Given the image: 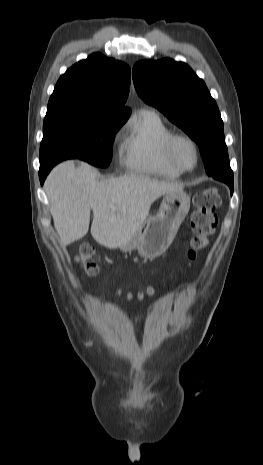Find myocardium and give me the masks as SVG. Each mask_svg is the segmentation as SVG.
I'll return each mask as SVG.
<instances>
[{"instance_id": "obj_1", "label": "myocardium", "mask_w": 263, "mask_h": 465, "mask_svg": "<svg viewBox=\"0 0 263 465\" xmlns=\"http://www.w3.org/2000/svg\"><path fill=\"white\" fill-rule=\"evenodd\" d=\"M178 141H185L189 143L194 151V156H195V161L192 167H185L183 166L178 159L176 158L175 155V145ZM164 154L169 162L170 165H172L175 169L179 170L180 172H190L193 171L198 163H199V148L197 143L193 138L190 136L184 134V133H171L165 140L164 143Z\"/></svg>"}]
</instances>
